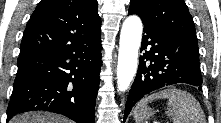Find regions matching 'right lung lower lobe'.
Returning <instances> with one entry per match:
<instances>
[{"label":"right lung lower lobe","mask_w":221,"mask_h":123,"mask_svg":"<svg viewBox=\"0 0 221 123\" xmlns=\"http://www.w3.org/2000/svg\"><path fill=\"white\" fill-rule=\"evenodd\" d=\"M101 50L99 35L63 49L19 55L7 120L19 112L45 110L94 123Z\"/></svg>","instance_id":"98d812e1"}]
</instances>
